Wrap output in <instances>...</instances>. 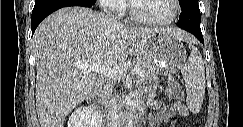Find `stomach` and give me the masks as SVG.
<instances>
[{"label":"stomach","mask_w":243,"mask_h":127,"mask_svg":"<svg viewBox=\"0 0 243 127\" xmlns=\"http://www.w3.org/2000/svg\"><path fill=\"white\" fill-rule=\"evenodd\" d=\"M134 43L140 59L154 74H173L187 58L181 40L167 31L150 32Z\"/></svg>","instance_id":"0dacf381"}]
</instances>
